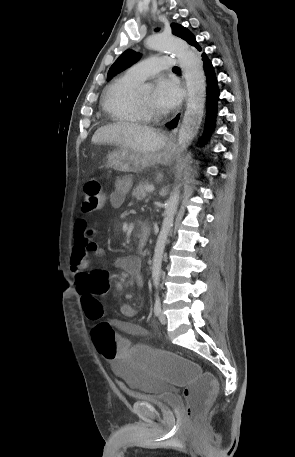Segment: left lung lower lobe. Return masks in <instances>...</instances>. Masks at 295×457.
I'll return each mask as SVG.
<instances>
[{"label":"left lung lower lobe","mask_w":295,"mask_h":457,"mask_svg":"<svg viewBox=\"0 0 295 457\" xmlns=\"http://www.w3.org/2000/svg\"><path fill=\"white\" fill-rule=\"evenodd\" d=\"M199 52L202 51V48L199 46L198 42L195 40L192 44ZM202 60H203V65H204V71H205V76H206V81H207V113H206V121H205V130H204V135L202 137V143H205L209 136L211 135V131L214 128L215 125V118H216V112H217V96L219 95L218 91V86H217V78L214 73V68L211 63V61L208 59L206 54L203 52L201 54ZM179 119V115L172 120L168 126L169 127H174L175 124L177 123Z\"/></svg>","instance_id":"1"}]
</instances>
